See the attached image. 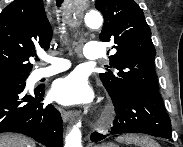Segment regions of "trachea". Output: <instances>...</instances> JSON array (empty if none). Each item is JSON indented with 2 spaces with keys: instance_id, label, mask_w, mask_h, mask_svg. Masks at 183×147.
<instances>
[{
  "instance_id": "trachea-1",
  "label": "trachea",
  "mask_w": 183,
  "mask_h": 147,
  "mask_svg": "<svg viewBox=\"0 0 183 147\" xmlns=\"http://www.w3.org/2000/svg\"><path fill=\"white\" fill-rule=\"evenodd\" d=\"M62 2H63L62 0H56V4H57V6H58V7H60V6H61V4H62ZM36 60H37V61H39V59H38V58H37Z\"/></svg>"
}]
</instances>
